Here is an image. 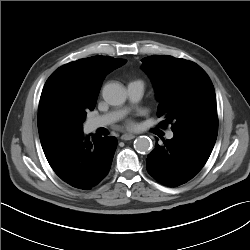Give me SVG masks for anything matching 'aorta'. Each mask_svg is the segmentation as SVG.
I'll return each instance as SVG.
<instances>
[{"label":"aorta","instance_id":"1","mask_svg":"<svg viewBox=\"0 0 250 250\" xmlns=\"http://www.w3.org/2000/svg\"><path fill=\"white\" fill-rule=\"evenodd\" d=\"M103 99L110 105H121L126 100V91L118 83H109L103 87ZM134 149L141 154L148 153L152 149V141L147 136H139L134 141Z\"/></svg>","mask_w":250,"mask_h":250}]
</instances>
